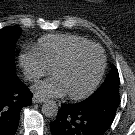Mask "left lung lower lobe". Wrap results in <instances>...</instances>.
<instances>
[{"mask_svg": "<svg viewBox=\"0 0 135 135\" xmlns=\"http://www.w3.org/2000/svg\"><path fill=\"white\" fill-rule=\"evenodd\" d=\"M120 103L119 92L91 95L82 102L62 104L55 121L50 123L52 135H103L111 126Z\"/></svg>", "mask_w": 135, "mask_h": 135, "instance_id": "1", "label": "left lung lower lobe"}]
</instances>
